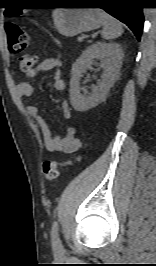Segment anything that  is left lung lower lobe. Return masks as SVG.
<instances>
[{"mask_svg":"<svg viewBox=\"0 0 156 266\" xmlns=\"http://www.w3.org/2000/svg\"><path fill=\"white\" fill-rule=\"evenodd\" d=\"M65 1V0H64ZM80 5L102 8L110 15L125 23L140 40L144 17L137 0H69Z\"/></svg>","mask_w":156,"mask_h":266,"instance_id":"1","label":"left lung lower lobe"}]
</instances>
